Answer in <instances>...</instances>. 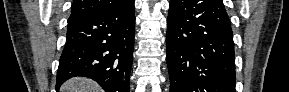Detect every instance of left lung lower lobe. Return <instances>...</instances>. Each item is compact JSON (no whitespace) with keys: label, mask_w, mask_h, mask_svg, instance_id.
I'll use <instances>...</instances> for the list:
<instances>
[{"label":"left lung lower lobe","mask_w":289,"mask_h":92,"mask_svg":"<svg viewBox=\"0 0 289 92\" xmlns=\"http://www.w3.org/2000/svg\"><path fill=\"white\" fill-rule=\"evenodd\" d=\"M170 92H235V51L222 0H171L167 19Z\"/></svg>","instance_id":"obj_1"}]
</instances>
